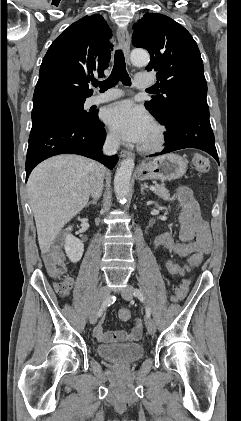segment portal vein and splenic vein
Masks as SVG:
<instances>
[{
    "label": "portal vein and splenic vein",
    "mask_w": 241,
    "mask_h": 421,
    "mask_svg": "<svg viewBox=\"0 0 241 421\" xmlns=\"http://www.w3.org/2000/svg\"><path fill=\"white\" fill-rule=\"evenodd\" d=\"M150 190L154 191L155 190V187L154 186H151L150 187Z\"/></svg>",
    "instance_id": "18ae733b"
}]
</instances>
